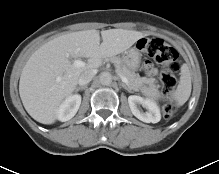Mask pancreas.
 Instances as JSON below:
<instances>
[{
  "label": "pancreas",
  "mask_w": 219,
  "mask_h": 174,
  "mask_svg": "<svg viewBox=\"0 0 219 174\" xmlns=\"http://www.w3.org/2000/svg\"><path fill=\"white\" fill-rule=\"evenodd\" d=\"M111 61L114 63L121 76L128 79V87L133 90H138L143 84H148L154 88H157L155 78L140 77L133 70L127 68L118 57H112Z\"/></svg>",
  "instance_id": "1"
}]
</instances>
